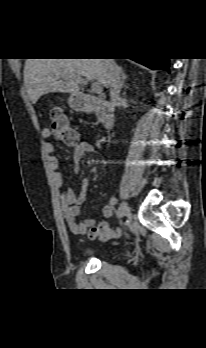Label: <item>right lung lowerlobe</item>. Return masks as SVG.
Segmentation results:
<instances>
[{"label": "right lung lower lobe", "instance_id": "1", "mask_svg": "<svg viewBox=\"0 0 206 348\" xmlns=\"http://www.w3.org/2000/svg\"><path fill=\"white\" fill-rule=\"evenodd\" d=\"M151 69L168 68V59L165 58H145L133 59Z\"/></svg>", "mask_w": 206, "mask_h": 348}]
</instances>
